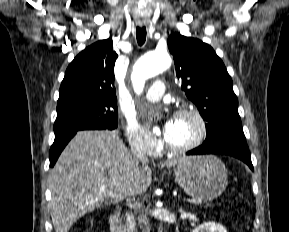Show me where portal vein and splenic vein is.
Segmentation results:
<instances>
[{
	"label": "portal vein and splenic vein",
	"mask_w": 289,
	"mask_h": 232,
	"mask_svg": "<svg viewBox=\"0 0 289 232\" xmlns=\"http://www.w3.org/2000/svg\"><path fill=\"white\" fill-rule=\"evenodd\" d=\"M106 189L105 186H101L100 190L104 191ZM187 202L192 203V204H198V205H202L204 202L201 200H194V199H186Z\"/></svg>",
	"instance_id": "1"
}]
</instances>
